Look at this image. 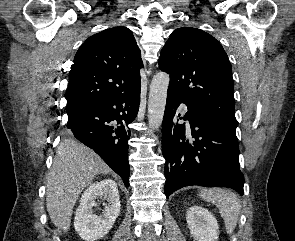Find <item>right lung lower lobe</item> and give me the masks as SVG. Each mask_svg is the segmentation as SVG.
Here are the masks:
<instances>
[{"label": "right lung lower lobe", "instance_id": "98d812e1", "mask_svg": "<svg viewBox=\"0 0 295 241\" xmlns=\"http://www.w3.org/2000/svg\"><path fill=\"white\" fill-rule=\"evenodd\" d=\"M140 103V84L131 91L92 101L68 113V132L93 149L129 186L128 125Z\"/></svg>", "mask_w": 295, "mask_h": 241}]
</instances>
